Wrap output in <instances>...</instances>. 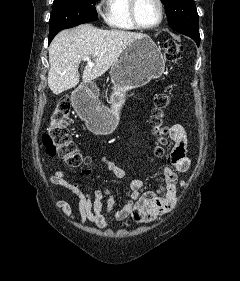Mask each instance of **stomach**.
<instances>
[{"instance_id":"obj_1","label":"stomach","mask_w":240,"mask_h":281,"mask_svg":"<svg viewBox=\"0 0 240 281\" xmlns=\"http://www.w3.org/2000/svg\"><path fill=\"white\" fill-rule=\"evenodd\" d=\"M164 69L162 53L149 36L145 35L129 44L111 67L113 92L110 108L88 98L79 109L88 128L96 134L112 133L119 122V111L125 101L124 93L160 77Z\"/></svg>"}]
</instances>
